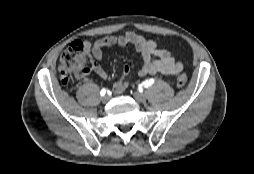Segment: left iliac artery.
I'll return each instance as SVG.
<instances>
[{
    "label": "left iliac artery",
    "instance_id": "obj_1",
    "mask_svg": "<svg viewBox=\"0 0 254 174\" xmlns=\"http://www.w3.org/2000/svg\"><path fill=\"white\" fill-rule=\"evenodd\" d=\"M154 83V79H147L146 81H144L141 85H143L144 87H149Z\"/></svg>",
    "mask_w": 254,
    "mask_h": 174
}]
</instances>
